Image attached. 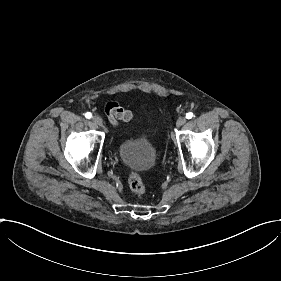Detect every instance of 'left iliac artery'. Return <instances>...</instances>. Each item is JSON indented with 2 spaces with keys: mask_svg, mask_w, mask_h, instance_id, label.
<instances>
[{
  "mask_svg": "<svg viewBox=\"0 0 281 281\" xmlns=\"http://www.w3.org/2000/svg\"><path fill=\"white\" fill-rule=\"evenodd\" d=\"M193 116H194L193 113L189 112L186 114V119H191Z\"/></svg>",
  "mask_w": 281,
  "mask_h": 281,
  "instance_id": "44dca946",
  "label": "left iliac artery"
}]
</instances>
